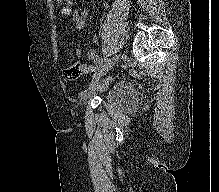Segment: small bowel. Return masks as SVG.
<instances>
[{
  "mask_svg": "<svg viewBox=\"0 0 219 192\" xmlns=\"http://www.w3.org/2000/svg\"><path fill=\"white\" fill-rule=\"evenodd\" d=\"M70 5H71V2L69 0L68 1V6L64 7L62 9V14H69L70 13V11H71L70 8H69ZM88 17H89V12L86 9H81L79 11H74L72 13V20L75 23L76 28L79 29V30H83V29H85L87 27V25H88ZM92 42L94 44H98L99 43V38L97 36H94L92 38ZM75 54L77 56H82L83 52L81 50H79V49H76L75 50ZM86 56H87V58L89 60H91L94 63L99 62V55H98V53H97V51L95 49L89 50L87 52ZM84 69L86 71H89V70L93 69V66H84Z\"/></svg>",
  "mask_w": 219,
  "mask_h": 192,
  "instance_id": "c3829d8e",
  "label": "small bowel"
}]
</instances>
